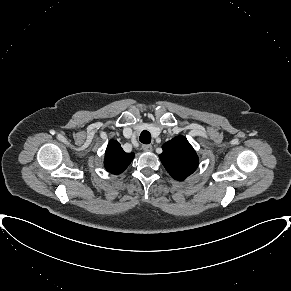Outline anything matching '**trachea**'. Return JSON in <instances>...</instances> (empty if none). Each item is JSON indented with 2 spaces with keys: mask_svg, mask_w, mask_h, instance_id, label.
<instances>
[{
  "mask_svg": "<svg viewBox=\"0 0 291 291\" xmlns=\"http://www.w3.org/2000/svg\"><path fill=\"white\" fill-rule=\"evenodd\" d=\"M139 140L143 144H149L151 142V134L148 131L144 130L141 132Z\"/></svg>",
  "mask_w": 291,
  "mask_h": 291,
  "instance_id": "obj_1",
  "label": "trachea"
}]
</instances>
